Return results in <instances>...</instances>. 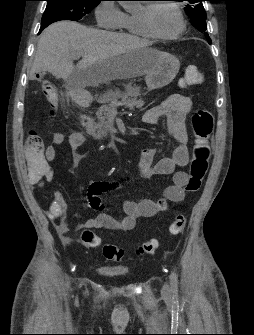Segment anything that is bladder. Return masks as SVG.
Wrapping results in <instances>:
<instances>
[{"label":"bladder","mask_w":254,"mask_h":335,"mask_svg":"<svg viewBox=\"0 0 254 335\" xmlns=\"http://www.w3.org/2000/svg\"><path fill=\"white\" fill-rule=\"evenodd\" d=\"M98 272L106 275V276H125L127 274V270L124 268H115V267H107V266H100L98 268Z\"/></svg>","instance_id":"1"}]
</instances>
